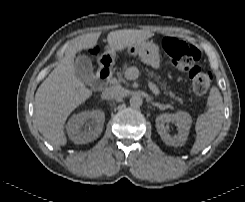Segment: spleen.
I'll list each match as a JSON object with an SVG mask.
<instances>
[{
	"mask_svg": "<svg viewBox=\"0 0 245 202\" xmlns=\"http://www.w3.org/2000/svg\"><path fill=\"white\" fill-rule=\"evenodd\" d=\"M208 111L197 118L196 141L191 154H196L208 146L221 130L224 111L223 99L218 88L213 87L207 100Z\"/></svg>",
	"mask_w": 245,
	"mask_h": 202,
	"instance_id": "spleen-1",
	"label": "spleen"
}]
</instances>
